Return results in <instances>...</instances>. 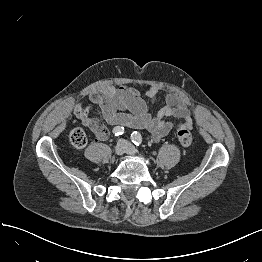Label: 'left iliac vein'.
<instances>
[{
    "label": "left iliac vein",
    "instance_id": "obj_1",
    "mask_svg": "<svg viewBox=\"0 0 262 262\" xmlns=\"http://www.w3.org/2000/svg\"><path fill=\"white\" fill-rule=\"evenodd\" d=\"M126 145H127L126 153L129 155H134L136 153V149L128 142H126Z\"/></svg>",
    "mask_w": 262,
    "mask_h": 262
}]
</instances>
